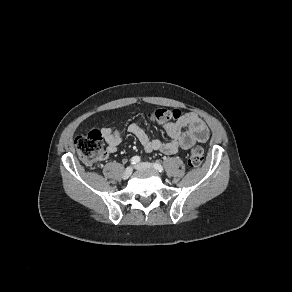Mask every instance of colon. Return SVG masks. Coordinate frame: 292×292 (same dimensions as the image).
Masks as SVG:
<instances>
[{
    "label": "colon",
    "mask_w": 292,
    "mask_h": 292,
    "mask_svg": "<svg viewBox=\"0 0 292 292\" xmlns=\"http://www.w3.org/2000/svg\"><path fill=\"white\" fill-rule=\"evenodd\" d=\"M179 110L158 109L152 113L153 120L176 118ZM75 146L80 158L87 165H95L104 156L103 135L99 130H92L86 135L75 139ZM204 160V150L200 145H194L189 153L188 163L191 167H198Z\"/></svg>",
    "instance_id": "colon-1"
}]
</instances>
